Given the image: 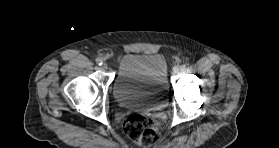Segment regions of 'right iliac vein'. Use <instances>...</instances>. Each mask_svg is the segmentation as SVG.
<instances>
[{"instance_id":"63e3f726","label":"right iliac vein","mask_w":279,"mask_h":148,"mask_svg":"<svg viewBox=\"0 0 279 148\" xmlns=\"http://www.w3.org/2000/svg\"><path fill=\"white\" fill-rule=\"evenodd\" d=\"M101 68H102L103 70H107V69H108V65H107L106 63H103L102 66H101Z\"/></svg>"}]
</instances>
